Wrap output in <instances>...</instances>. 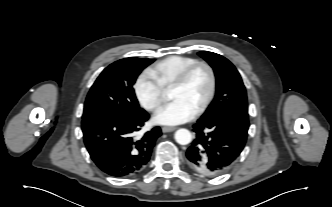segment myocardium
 I'll use <instances>...</instances> for the list:
<instances>
[{"label":"myocardium","mask_w":332,"mask_h":207,"mask_svg":"<svg viewBox=\"0 0 332 207\" xmlns=\"http://www.w3.org/2000/svg\"><path fill=\"white\" fill-rule=\"evenodd\" d=\"M200 67L204 68L208 72L210 85L208 93L200 106L196 109L195 115L203 113L208 108L215 96L217 88V76L214 68L206 61H196L193 64L189 65L187 68H185L170 86V88H179L184 86L190 76L193 74V72Z\"/></svg>","instance_id":"1"}]
</instances>
